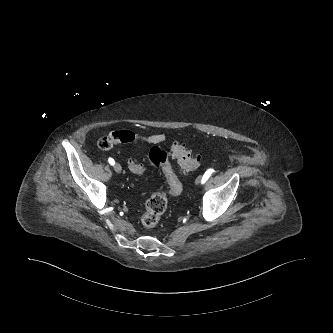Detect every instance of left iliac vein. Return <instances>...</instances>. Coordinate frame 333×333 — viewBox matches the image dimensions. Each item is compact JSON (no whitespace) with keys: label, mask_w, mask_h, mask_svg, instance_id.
I'll return each instance as SVG.
<instances>
[{"label":"left iliac vein","mask_w":333,"mask_h":333,"mask_svg":"<svg viewBox=\"0 0 333 333\" xmlns=\"http://www.w3.org/2000/svg\"><path fill=\"white\" fill-rule=\"evenodd\" d=\"M202 181V176H198L195 180V184H200Z\"/></svg>","instance_id":"obj_1"}]
</instances>
